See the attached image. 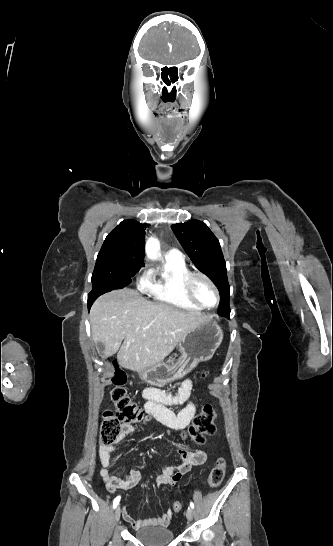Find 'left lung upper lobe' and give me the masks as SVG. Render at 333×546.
<instances>
[{
	"mask_svg": "<svg viewBox=\"0 0 333 546\" xmlns=\"http://www.w3.org/2000/svg\"><path fill=\"white\" fill-rule=\"evenodd\" d=\"M171 228L194 265L217 286L220 292L218 314L229 318L230 286L218 239L205 223L195 219L173 224Z\"/></svg>",
	"mask_w": 333,
	"mask_h": 546,
	"instance_id": "5c2ea615",
	"label": "left lung upper lobe"
}]
</instances>
